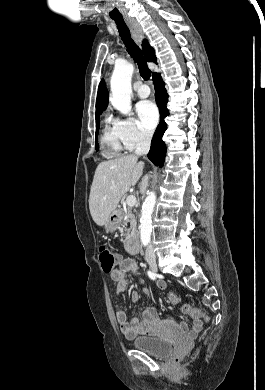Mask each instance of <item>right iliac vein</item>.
Instances as JSON below:
<instances>
[{"label": "right iliac vein", "instance_id": "1", "mask_svg": "<svg viewBox=\"0 0 265 390\" xmlns=\"http://www.w3.org/2000/svg\"><path fill=\"white\" fill-rule=\"evenodd\" d=\"M148 264L150 265L151 269L154 271V272H157L158 271V267H157V262H156V258L154 256H148L146 258Z\"/></svg>", "mask_w": 265, "mask_h": 390}]
</instances>
